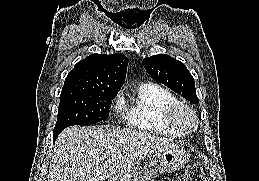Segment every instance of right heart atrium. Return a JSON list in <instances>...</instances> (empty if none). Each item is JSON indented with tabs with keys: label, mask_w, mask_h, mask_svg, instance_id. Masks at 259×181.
Returning <instances> with one entry per match:
<instances>
[{
	"label": "right heart atrium",
	"mask_w": 259,
	"mask_h": 181,
	"mask_svg": "<svg viewBox=\"0 0 259 181\" xmlns=\"http://www.w3.org/2000/svg\"><path fill=\"white\" fill-rule=\"evenodd\" d=\"M123 108H124V98L121 94H119L114 100V105H113L114 115L118 116Z\"/></svg>",
	"instance_id": "d8ad5b80"
}]
</instances>
